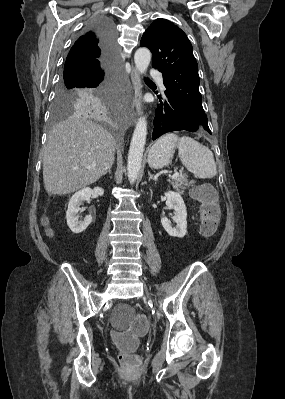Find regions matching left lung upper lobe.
Masks as SVG:
<instances>
[{"mask_svg":"<svg viewBox=\"0 0 285 399\" xmlns=\"http://www.w3.org/2000/svg\"><path fill=\"white\" fill-rule=\"evenodd\" d=\"M140 46L153 54L152 66L163 73L169 95L210 132L199 92L198 65L186 34L166 19H156L144 32Z\"/></svg>","mask_w":285,"mask_h":399,"instance_id":"1","label":"left lung upper lobe"}]
</instances>
